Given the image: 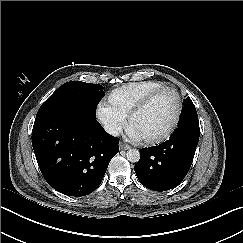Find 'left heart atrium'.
Segmentation results:
<instances>
[{"instance_id": "1", "label": "left heart atrium", "mask_w": 243, "mask_h": 243, "mask_svg": "<svg viewBox=\"0 0 243 243\" xmlns=\"http://www.w3.org/2000/svg\"><path fill=\"white\" fill-rule=\"evenodd\" d=\"M127 134L132 141H139L142 139V134L135 127L128 128Z\"/></svg>"}]
</instances>
